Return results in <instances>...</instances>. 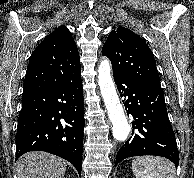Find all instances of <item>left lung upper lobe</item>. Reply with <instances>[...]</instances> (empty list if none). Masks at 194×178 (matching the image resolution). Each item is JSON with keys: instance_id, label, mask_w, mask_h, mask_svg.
I'll use <instances>...</instances> for the list:
<instances>
[{"instance_id": "obj_1", "label": "left lung upper lobe", "mask_w": 194, "mask_h": 178, "mask_svg": "<svg viewBox=\"0 0 194 178\" xmlns=\"http://www.w3.org/2000/svg\"><path fill=\"white\" fill-rule=\"evenodd\" d=\"M102 54L111 60L114 75L161 88L151 49L144 39L130 29L119 26L111 31Z\"/></svg>"}]
</instances>
